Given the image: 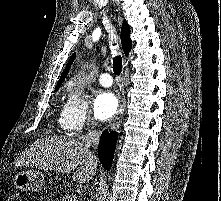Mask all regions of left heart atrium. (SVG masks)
Masks as SVG:
<instances>
[{"label": "left heart atrium", "instance_id": "1", "mask_svg": "<svg viewBox=\"0 0 221 201\" xmlns=\"http://www.w3.org/2000/svg\"><path fill=\"white\" fill-rule=\"evenodd\" d=\"M118 99L109 91H100L93 103L95 116L102 121L108 120L117 112Z\"/></svg>", "mask_w": 221, "mask_h": 201}]
</instances>
